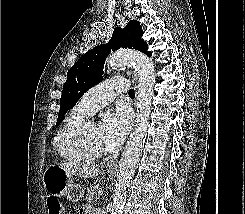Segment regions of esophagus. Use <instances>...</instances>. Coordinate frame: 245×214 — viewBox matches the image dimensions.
I'll use <instances>...</instances> for the list:
<instances>
[{
    "mask_svg": "<svg viewBox=\"0 0 245 214\" xmlns=\"http://www.w3.org/2000/svg\"><path fill=\"white\" fill-rule=\"evenodd\" d=\"M137 75L134 73L133 74V80H134V82H135V88L137 89ZM117 165V161H111L109 164H108V166L110 167V168H113V167H115Z\"/></svg>",
    "mask_w": 245,
    "mask_h": 214,
    "instance_id": "esophagus-1",
    "label": "esophagus"
}]
</instances>
